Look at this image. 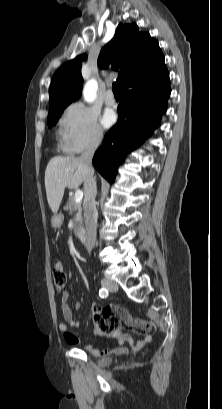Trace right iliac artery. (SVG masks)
Instances as JSON below:
<instances>
[{
    "label": "right iliac artery",
    "mask_w": 222,
    "mask_h": 409,
    "mask_svg": "<svg viewBox=\"0 0 222 409\" xmlns=\"http://www.w3.org/2000/svg\"><path fill=\"white\" fill-rule=\"evenodd\" d=\"M99 296H100L101 298H106V297L108 296V290L105 289V288H101V289L99 290Z\"/></svg>",
    "instance_id": "obj_1"
}]
</instances>
